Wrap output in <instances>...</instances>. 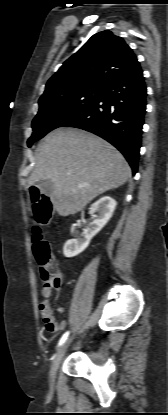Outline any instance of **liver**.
<instances>
[{"instance_id": "obj_1", "label": "liver", "mask_w": 168, "mask_h": 415, "mask_svg": "<svg viewBox=\"0 0 168 415\" xmlns=\"http://www.w3.org/2000/svg\"><path fill=\"white\" fill-rule=\"evenodd\" d=\"M129 177L131 169L125 158L107 141L84 130L58 128L38 145L28 184L50 179L54 183L53 207L60 216H68Z\"/></svg>"}]
</instances>
